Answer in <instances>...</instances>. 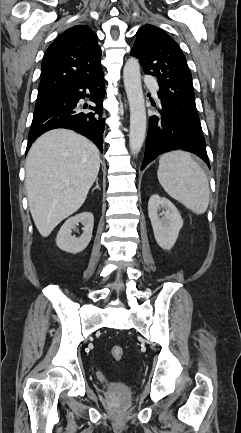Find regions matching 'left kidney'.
Instances as JSON below:
<instances>
[{"instance_id": "5707ae66", "label": "left kidney", "mask_w": 241, "mask_h": 433, "mask_svg": "<svg viewBox=\"0 0 241 433\" xmlns=\"http://www.w3.org/2000/svg\"><path fill=\"white\" fill-rule=\"evenodd\" d=\"M162 209L161 213H158ZM148 215L157 244L170 250L183 226V220L174 204L167 198L154 194L148 201Z\"/></svg>"}]
</instances>
